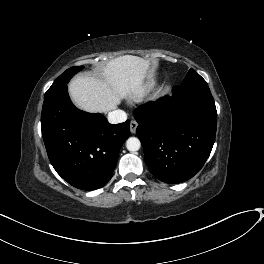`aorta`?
Segmentation results:
<instances>
[{
  "label": "aorta",
  "mask_w": 264,
  "mask_h": 264,
  "mask_svg": "<svg viewBox=\"0 0 264 264\" xmlns=\"http://www.w3.org/2000/svg\"><path fill=\"white\" fill-rule=\"evenodd\" d=\"M140 147H141V143H140L139 139L136 137H130L126 141V148L130 152H136L140 149Z\"/></svg>",
  "instance_id": "1"
}]
</instances>
